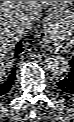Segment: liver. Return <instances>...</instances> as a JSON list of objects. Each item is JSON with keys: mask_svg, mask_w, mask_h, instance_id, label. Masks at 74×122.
<instances>
[{"mask_svg": "<svg viewBox=\"0 0 74 122\" xmlns=\"http://www.w3.org/2000/svg\"><path fill=\"white\" fill-rule=\"evenodd\" d=\"M62 1H0V74L3 77L9 68L13 51L18 41L31 26L22 30V24L31 25L40 15L44 6L51 5L57 10Z\"/></svg>", "mask_w": 74, "mask_h": 122, "instance_id": "6515ba94", "label": "liver"}]
</instances>
